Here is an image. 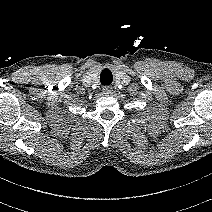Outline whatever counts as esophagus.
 Wrapping results in <instances>:
<instances>
[{"label":"esophagus","mask_w":212,"mask_h":212,"mask_svg":"<svg viewBox=\"0 0 212 212\" xmlns=\"http://www.w3.org/2000/svg\"><path fill=\"white\" fill-rule=\"evenodd\" d=\"M102 91L105 95H108L111 93L112 88L110 86H105V87H103Z\"/></svg>","instance_id":"esophagus-1"}]
</instances>
